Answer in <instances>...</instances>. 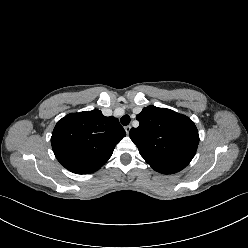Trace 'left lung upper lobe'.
<instances>
[{"instance_id":"obj_1","label":"left lung upper lobe","mask_w":248,"mask_h":248,"mask_svg":"<svg viewBox=\"0 0 248 248\" xmlns=\"http://www.w3.org/2000/svg\"><path fill=\"white\" fill-rule=\"evenodd\" d=\"M136 118L139 126L131 128L130 138L154 170L173 174L190 163L199 143L198 130L190 118L155 106L143 108Z\"/></svg>"}]
</instances>
